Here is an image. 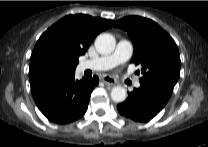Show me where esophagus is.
I'll list each match as a JSON object with an SVG mask.
<instances>
[{
	"mask_svg": "<svg viewBox=\"0 0 208 147\" xmlns=\"http://www.w3.org/2000/svg\"><path fill=\"white\" fill-rule=\"evenodd\" d=\"M102 81H103L106 85H109V86H114V85H116V83H117V81H116L113 77H111V76H109V75H104V76L102 77Z\"/></svg>",
	"mask_w": 208,
	"mask_h": 147,
	"instance_id": "obj_1",
	"label": "esophagus"
}]
</instances>
